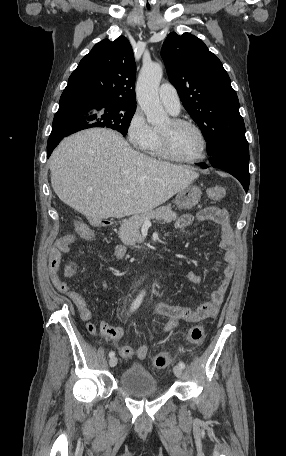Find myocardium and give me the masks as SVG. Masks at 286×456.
<instances>
[{"instance_id":"obj_1","label":"myocardium","mask_w":286,"mask_h":456,"mask_svg":"<svg viewBox=\"0 0 286 456\" xmlns=\"http://www.w3.org/2000/svg\"><path fill=\"white\" fill-rule=\"evenodd\" d=\"M171 122L175 126H178V127L186 126V127H190L192 129H194L201 138L202 153L199 157L192 158V159L180 158L172 152V150L170 148V142H169L167 135L158 131L159 149H160L161 155L168 160L179 162V163H184V164H198V163H201L202 161H204L208 154L209 143H208V139H207L204 131L202 130V128L199 125H197L196 123H194L190 120L182 119V118H172Z\"/></svg>"}]
</instances>
